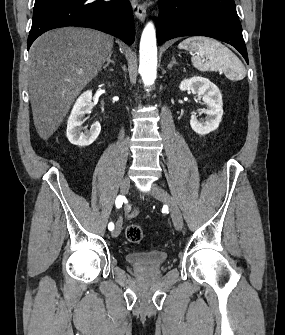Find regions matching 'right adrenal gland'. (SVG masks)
Wrapping results in <instances>:
<instances>
[{"mask_svg":"<svg viewBox=\"0 0 285 335\" xmlns=\"http://www.w3.org/2000/svg\"><path fill=\"white\" fill-rule=\"evenodd\" d=\"M113 52H111V54H109V58L108 60H106L107 64H105V66H103L104 70H106V68H108L109 64H115V62H113V60H110V56H112Z\"/></svg>","mask_w":285,"mask_h":335,"instance_id":"right-adrenal-gland-1","label":"right adrenal gland"}]
</instances>
